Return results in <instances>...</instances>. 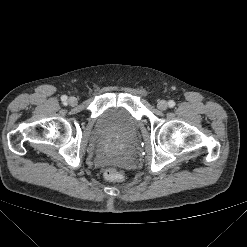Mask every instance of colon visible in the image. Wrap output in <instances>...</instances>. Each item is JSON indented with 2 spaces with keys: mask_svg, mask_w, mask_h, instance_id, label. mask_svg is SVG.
Wrapping results in <instances>:
<instances>
[{
  "mask_svg": "<svg viewBox=\"0 0 247 247\" xmlns=\"http://www.w3.org/2000/svg\"><path fill=\"white\" fill-rule=\"evenodd\" d=\"M105 179L114 182H120L124 180V175L122 172L118 171L116 168L110 167L106 168L103 172Z\"/></svg>",
  "mask_w": 247,
  "mask_h": 247,
  "instance_id": "obj_1",
  "label": "colon"
}]
</instances>
